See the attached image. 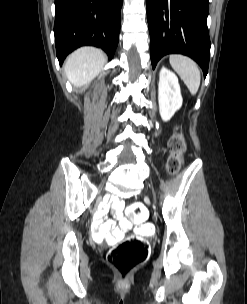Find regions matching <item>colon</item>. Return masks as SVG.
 <instances>
[{"label": "colon", "instance_id": "obj_1", "mask_svg": "<svg viewBox=\"0 0 247 304\" xmlns=\"http://www.w3.org/2000/svg\"><path fill=\"white\" fill-rule=\"evenodd\" d=\"M170 157L168 159V170L176 173L182 163L185 142L181 134H175L169 142ZM146 202H129L128 217L130 225H141L135 227V234L131 235L123 242L113 246L108 254V263L116 269L126 281L129 273L148 259L151 253V246L145 238H157L158 232L153 224H145L148 221L149 212Z\"/></svg>", "mask_w": 247, "mask_h": 304}]
</instances>
